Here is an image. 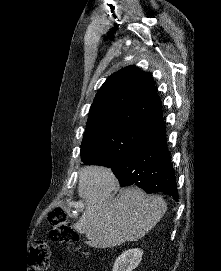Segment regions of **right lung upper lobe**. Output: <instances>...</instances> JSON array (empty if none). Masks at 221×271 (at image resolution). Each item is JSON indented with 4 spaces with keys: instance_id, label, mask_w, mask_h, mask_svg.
<instances>
[{
    "instance_id": "right-lung-upper-lobe-1",
    "label": "right lung upper lobe",
    "mask_w": 221,
    "mask_h": 271,
    "mask_svg": "<svg viewBox=\"0 0 221 271\" xmlns=\"http://www.w3.org/2000/svg\"><path fill=\"white\" fill-rule=\"evenodd\" d=\"M160 121L162 103L151 74L129 66L109 76L96 94L84 135L106 127L148 131Z\"/></svg>"
}]
</instances>
